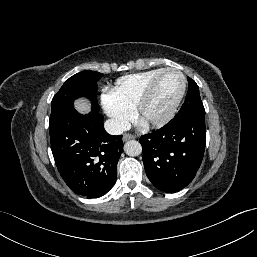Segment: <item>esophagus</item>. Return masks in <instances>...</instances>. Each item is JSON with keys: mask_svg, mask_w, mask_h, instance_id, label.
<instances>
[{"mask_svg": "<svg viewBox=\"0 0 257 257\" xmlns=\"http://www.w3.org/2000/svg\"><path fill=\"white\" fill-rule=\"evenodd\" d=\"M130 139H135V136L132 135V134H129V133H126L123 135V141H127V140H130Z\"/></svg>", "mask_w": 257, "mask_h": 257, "instance_id": "esophagus-1", "label": "esophagus"}]
</instances>
